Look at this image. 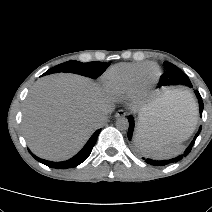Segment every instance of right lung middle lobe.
Returning a JSON list of instances; mask_svg holds the SVG:
<instances>
[{"label":"right lung middle lobe","mask_w":212,"mask_h":212,"mask_svg":"<svg viewBox=\"0 0 212 212\" xmlns=\"http://www.w3.org/2000/svg\"><path fill=\"white\" fill-rule=\"evenodd\" d=\"M109 64L107 62H88L82 63L79 61H68L57 65L49 69L48 74L58 73V72H69L76 73L90 78H97L101 75L107 68Z\"/></svg>","instance_id":"1"}]
</instances>
